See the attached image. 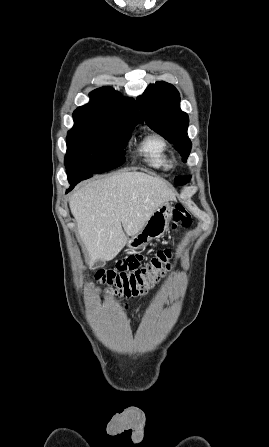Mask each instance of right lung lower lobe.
Returning <instances> with one entry per match:
<instances>
[{"label": "right lung lower lobe", "instance_id": "right-lung-lower-lobe-1", "mask_svg": "<svg viewBox=\"0 0 269 447\" xmlns=\"http://www.w3.org/2000/svg\"><path fill=\"white\" fill-rule=\"evenodd\" d=\"M67 174H68V180H69V182H70V184H71L70 188L67 190V192H68V191H70L71 189H73V187H74L78 182H80L81 180H83V179H84V176L74 175V174H71V173H69V172H67ZM92 175H93V174H88L89 178H90Z\"/></svg>", "mask_w": 269, "mask_h": 447}]
</instances>
